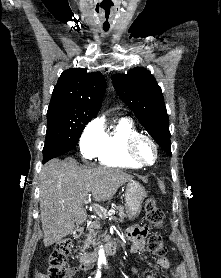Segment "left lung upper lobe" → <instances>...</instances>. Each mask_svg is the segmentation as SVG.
<instances>
[{"label": "left lung upper lobe", "instance_id": "left-lung-upper-lobe-1", "mask_svg": "<svg viewBox=\"0 0 221 278\" xmlns=\"http://www.w3.org/2000/svg\"><path fill=\"white\" fill-rule=\"evenodd\" d=\"M112 82L122 101L162 149L171 155L168 115L161 88L152 74L146 68L136 67L126 75H113Z\"/></svg>", "mask_w": 221, "mask_h": 278}]
</instances>
